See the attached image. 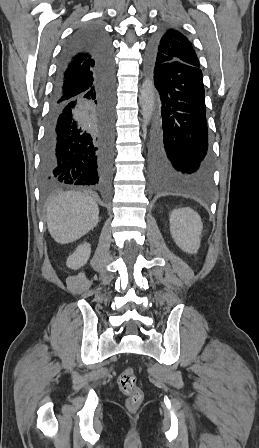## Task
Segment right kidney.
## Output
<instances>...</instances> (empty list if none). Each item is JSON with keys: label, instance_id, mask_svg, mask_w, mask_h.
Wrapping results in <instances>:
<instances>
[{"label": "right kidney", "instance_id": "1", "mask_svg": "<svg viewBox=\"0 0 259 448\" xmlns=\"http://www.w3.org/2000/svg\"><path fill=\"white\" fill-rule=\"evenodd\" d=\"M90 254L91 246L90 244H87V242H84V244L78 246L75 252H73V254L69 256L66 266H68V268H71V270H78V268H82V266H85V264H87L90 258Z\"/></svg>", "mask_w": 259, "mask_h": 448}]
</instances>
